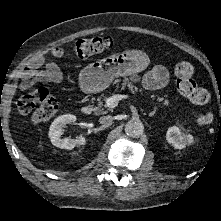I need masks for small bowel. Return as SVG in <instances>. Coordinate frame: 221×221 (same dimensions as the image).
I'll use <instances>...</instances> for the list:
<instances>
[{
    "instance_id": "small-bowel-1",
    "label": "small bowel",
    "mask_w": 221,
    "mask_h": 221,
    "mask_svg": "<svg viewBox=\"0 0 221 221\" xmlns=\"http://www.w3.org/2000/svg\"><path fill=\"white\" fill-rule=\"evenodd\" d=\"M54 57H61L64 54L62 48H56L50 53ZM63 74L59 67L47 61L44 55L33 58L23 72L21 88L28 89L36 83H56L63 82ZM168 82V72L162 65L155 66L144 77V85L150 89H159Z\"/></svg>"
}]
</instances>
